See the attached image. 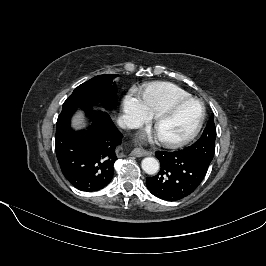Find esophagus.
Here are the masks:
<instances>
[{"label":"esophagus","mask_w":266,"mask_h":266,"mask_svg":"<svg viewBox=\"0 0 266 266\" xmlns=\"http://www.w3.org/2000/svg\"><path fill=\"white\" fill-rule=\"evenodd\" d=\"M151 152L150 151H146L140 148H135L130 152V155L135 156V157H143L146 155H150Z\"/></svg>","instance_id":"esophagus-1"}]
</instances>
